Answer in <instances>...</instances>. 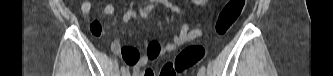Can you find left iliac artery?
Wrapping results in <instances>:
<instances>
[{"label": "left iliac artery", "instance_id": "1", "mask_svg": "<svg viewBox=\"0 0 333 76\" xmlns=\"http://www.w3.org/2000/svg\"><path fill=\"white\" fill-rule=\"evenodd\" d=\"M205 66H201V68H200V70L199 71H202V72H204L205 73Z\"/></svg>", "mask_w": 333, "mask_h": 76}]
</instances>
